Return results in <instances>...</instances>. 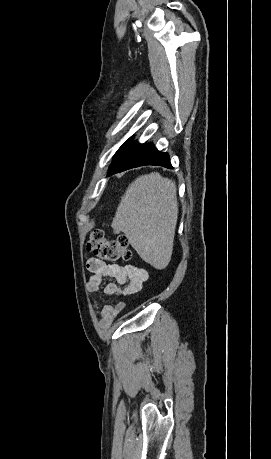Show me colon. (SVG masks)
<instances>
[{
    "instance_id": "obj_1",
    "label": "colon",
    "mask_w": 271,
    "mask_h": 459,
    "mask_svg": "<svg viewBox=\"0 0 271 459\" xmlns=\"http://www.w3.org/2000/svg\"><path fill=\"white\" fill-rule=\"evenodd\" d=\"M87 248L97 258L104 261L129 260L132 255L126 237L110 239L100 230H95L90 234Z\"/></svg>"
}]
</instances>
